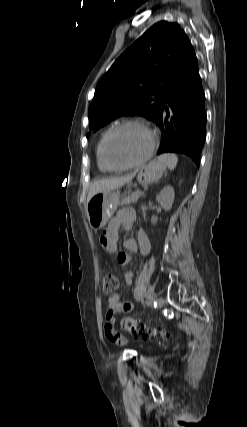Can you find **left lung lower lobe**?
Here are the masks:
<instances>
[{
	"label": "left lung lower lobe",
	"mask_w": 247,
	"mask_h": 427,
	"mask_svg": "<svg viewBox=\"0 0 247 427\" xmlns=\"http://www.w3.org/2000/svg\"><path fill=\"white\" fill-rule=\"evenodd\" d=\"M156 124L164 130L157 154L183 153L199 167L200 153L206 139V112L198 66L187 80L169 92Z\"/></svg>",
	"instance_id": "obj_1"
}]
</instances>
